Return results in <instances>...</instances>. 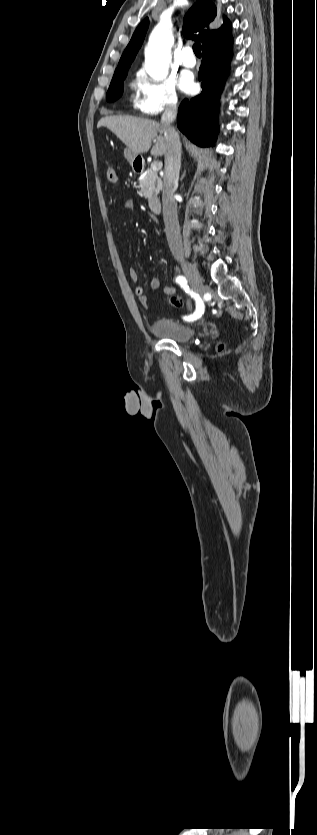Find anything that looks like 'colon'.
I'll use <instances>...</instances> for the list:
<instances>
[{
    "label": "colon",
    "mask_w": 317,
    "mask_h": 835,
    "mask_svg": "<svg viewBox=\"0 0 317 835\" xmlns=\"http://www.w3.org/2000/svg\"><path fill=\"white\" fill-rule=\"evenodd\" d=\"M106 177L110 183H116L118 180L117 172L113 167L107 168ZM169 303L175 308H182L184 305L183 300L178 296H171L169 298Z\"/></svg>",
    "instance_id": "5ec220e1"
}]
</instances>
